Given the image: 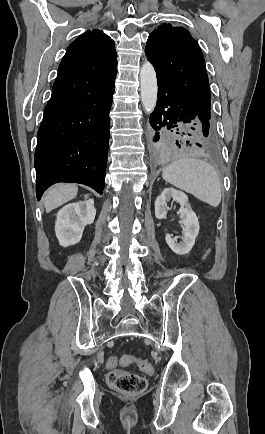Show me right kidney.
Returning a JSON list of instances; mask_svg holds the SVG:
<instances>
[{"instance_id": "1", "label": "right kidney", "mask_w": 265, "mask_h": 434, "mask_svg": "<svg viewBox=\"0 0 265 434\" xmlns=\"http://www.w3.org/2000/svg\"><path fill=\"white\" fill-rule=\"evenodd\" d=\"M89 194L85 196L84 202L67 204L57 214L55 222V234L60 246H74L82 238L83 230L88 224H93L96 216L94 200H88Z\"/></svg>"}]
</instances>
